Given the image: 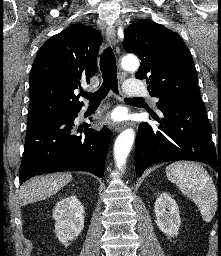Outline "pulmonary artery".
<instances>
[{
    "label": "pulmonary artery",
    "mask_w": 221,
    "mask_h": 256,
    "mask_svg": "<svg viewBox=\"0 0 221 256\" xmlns=\"http://www.w3.org/2000/svg\"><path fill=\"white\" fill-rule=\"evenodd\" d=\"M125 93L129 97H142L148 96V91L145 85L136 79H130L125 82L124 85ZM153 101H156V98H152Z\"/></svg>",
    "instance_id": "e3ab8cb5"
}]
</instances>
